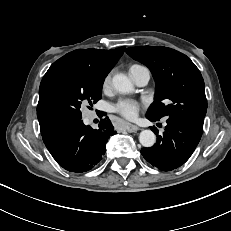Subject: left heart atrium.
<instances>
[{"mask_svg": "<svg viewBox=\"0 0 231 231\" xmlns=\"http://www.w3.org/2000/svg\"><path fill=\"white\" fill-rule=\"evenodd\" d=\"M139 109V104L131 99H121L114 105V111L127 119H134Z\"/></svg>", "mask_w": 231, "mask_h": 231, "instance_id": "obj_1", "label": "left heart atrium"}]
</instances>
